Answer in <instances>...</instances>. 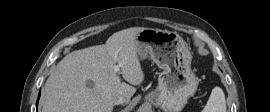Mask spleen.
<instances>
[{
	"mask_svg": "<svg viewBox=\"0 0 270 112\" xmlns=\"http://www.w3.org/2000/svg\"><path fill=\"white\" fill-rule=\"evenodd\" d=\"M201 112H226L225 95L220 87H215Z\"/></svg>",
	"mask_w": 270,
	"mask_h": 112,
	"instance_id": "1",
	"label": "spleen"
}]
</instances>
